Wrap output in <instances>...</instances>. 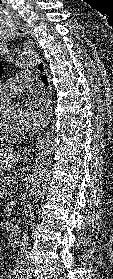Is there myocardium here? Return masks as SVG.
<instances>
[{
    "mask_svg": "<svg viewBox=\"0 0 113 279\" xmlns=\"http://www.w3.org/2000/svg\"><path fill=\"white\" fill-rule=\"evenodd\" d=\"M13 107L14 105L8 102L0 107V138L5 141L15 140L23 135L21 131H15L6 124L8 113Z\"/></svg>",
    "mask_w": 113,
    "mask_h": 279,
    "instance_id": "1",
    "label": "myocardium"
}]
</instances>
